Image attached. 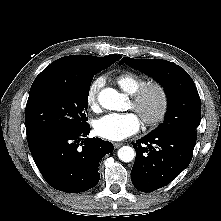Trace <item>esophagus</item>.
I'll return each instance as SVG.
<instances>
[{
	"mask_svg": "<svg viewBox=\"0 0 221 221\" xmlns=\"http://www.w3.org/2000/svg\"><path fill=\"white\" fill-rule=\"evenodd\" d=\"M123 145V143H120V142H116V143H114V148H119V147H121Z\"/></svg>",
	"mask_w": 221,
	"mask_h": 221,
	"instance_id": "34e87169",
	"label": "esophagus"
}]
</instances>
